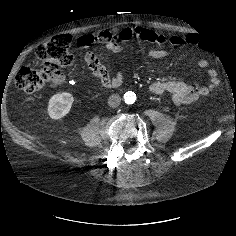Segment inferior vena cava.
<instances>
[{
    "mask_svg": "<svg viewBox=\"0 0 236 236\" xmlns=\"http://www.w3.org/2000/svg\"><path fill=\"white\" fill-rule=\"evenodd\" d=\"M121 97L118 94H112L108 98V105L112 108H116L120 105Z\"/></svg>",
    "mask_w": 236,
    "mask_h": 236,
    "instance_id": "602c4592",
    "label": "inferior vena cava"
}]
</instances>
